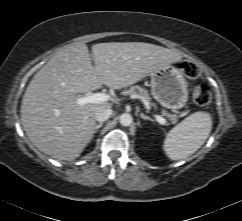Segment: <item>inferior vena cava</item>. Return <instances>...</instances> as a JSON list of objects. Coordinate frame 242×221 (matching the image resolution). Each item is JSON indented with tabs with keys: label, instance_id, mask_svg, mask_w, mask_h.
<instances>
[{
	"label": "inferior vena cava",
	"instance_id": "inferior-vena-cava-1",
	"mask_svg": "<svg viewBox=\"0 0 242 221\" xmlns=\"http://www.w3.org/2000/svg\"><path fill=\"white\" fill-rule=\"evenodd\" d=\"M113 110L104 106L98 107L95 110V118L99 122L106 121L111 115Z\"/></svg>",
	"mask_w": 242,
	"mask_h": 221
}]
</instances>
